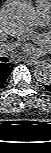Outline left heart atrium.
<instances>
[{
  "label": "left heart atrium",
  "instance_id": "39dd6f15",
  "mask_svg": "<svg viewBox=\"0 0 51 153\" xmlns=\"http://www.w3.org/2000/svg\"><path fill=\"white\" fill-rule=\"evenodd\" d=\"M38 42H40V40L38 39ZM23 50L27 53V54H34L36 52V48L33 44L29 43V44H25L23 47Z\"/></svg>",
  "mask_w": 51,
  "mask_h": 153
}]
</instances>
